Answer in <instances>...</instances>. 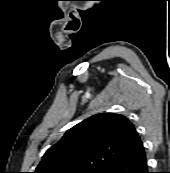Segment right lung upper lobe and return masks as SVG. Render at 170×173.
<instances>
[{
  "mask_svg": "<svg viewBox=\"0 0 170 173\" xmlns=\"http://www.w3.org/2000/svg\"><path fill=\"white\" fill-rule=\"evenodd\" d=\"M142 147L135 126L125 116L100 113L69 129L46 151L34 173L104 171Z\"/></svg>",
  "mask_w": 170,
  "mask_h": 173,
  "instance_id": "1",
  "label": "right lung upper lobe"
}]
</instances>
